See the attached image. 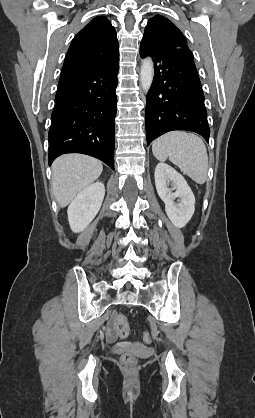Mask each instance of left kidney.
Listing matches in <instances>:
<instances>
[{"label": "left kidney", "mask_w": 255, "mask_h": 418, "mask_svg": "<svg viewBox=\"0 0 255 418\" xmlns=\"http://www.w3.org/2000/svg\"><path fill=\"white\" fill-rule=\"evenodd\" d=\"M155 185L159 197L165 203V212L172 224L183 228L195 211V197L184 177L166 163H158L155 169ZM171 183V188L168 187ZM174 191V192H173ZM179 202L175 203V199Z\"/></svg>", "instance_id": "1"}]
</instances>
